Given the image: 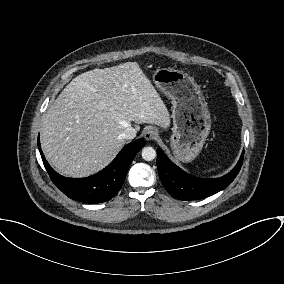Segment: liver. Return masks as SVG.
I'll use <instances>...</instances> for the list:
<instances>
[{
	"mask_svg": "<svg viewBox=\"0 0 284 284\" xmlns=\"http://www.w3.org/2000/svg\"><path fill=\"white\" fill-rule=\"evenodd\" d=\"M131 122L167 128L170 116L138 63L96 68L76 76L49 107L42 149L60 174L87 177L115 158Z\"/></svg>",
	"mask_w": 284,
	"mask_h": 284,
	"instance_id": "obj_1",
	"label": "liver"
}]
</instances>
